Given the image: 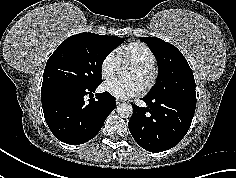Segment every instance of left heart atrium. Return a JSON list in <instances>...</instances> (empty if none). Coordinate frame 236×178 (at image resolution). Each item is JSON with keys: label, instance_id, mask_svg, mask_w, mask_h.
<instances>
[{"label": "left heart atrium", "instance_id": "obj_1", "mask_svg": "<svg viewBox=\"0 0 236 178\" xmlns=\"http://www.w3.org/2000/svg\"><path fill=\"white\" fill-rule=\"evenodd\" d=\"M103 89L118 99H128L140 94L143 87L135 79H126L107 82Z\"/></svg>", "mask_w": 236, "mask_h": 178}]
</instances>
